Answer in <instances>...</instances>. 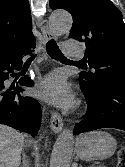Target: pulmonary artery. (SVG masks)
I'll return each mask as SVG.
<instances>
[{
    "label": "pulmonary artery",
    "mask_w": 125,
    "mask_h": 167,
    "mask_svg": "<svg viewBox=\"0 0 125 167\" xmlns=\"http://www.w3.org/2000/svg\"><path fill=\"white\" fill-rule=\"evenodd\" d=\"M64 52L68 57L71 58H79L81 56L78 42L73 39L64 42Z\"/></svg>",
    "instance_id": "pulmonary-artery-1"
}]
</instances>
